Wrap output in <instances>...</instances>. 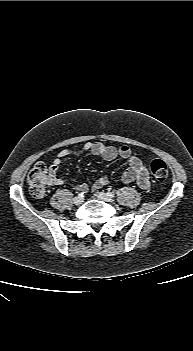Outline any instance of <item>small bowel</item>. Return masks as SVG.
I'll return each mask as SVG.
<instances>
[{
    "instance_id": "1",
    "label": "small bowel",
    "mask_w": 193,
    "mask_h": 351,
    "mask_svg": "<svg viewBox=\"0 0 193 351\" xmlns=\"http://www.w3.org/2000/svg\"><path fill=\"white\" fill-rule=\"evenodd\" d=\"M84 153H91L92 155L101 157L106 161H113L120 157L127 161L128 166L122 173V181L124 183L136 182L142 189H147L150 186V180L147 170L138 157L134 156L128 146H121L119 148L106 145L101 142H86L80 149H63L60 150L52 161L50 166V183L52 185H63L65 180L57 175L61 166L62 159L69 156H78ZM108 184V178L102 176L98 178L92 185L93 190H98ZM80 192H87L89 186L85 183L76 186Z\"/></svg>"
}]
</instances>
